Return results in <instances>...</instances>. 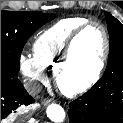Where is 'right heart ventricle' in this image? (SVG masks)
Here are the masks:
<instances>
[{
	"mask_svg": "<svg viewBox=\"0 0 123 123\" xmlns=\"http://www.w3.org/2000/svg\"><path fill=\"white\" fill-rule=\"evenodd\" d=\"M85 17L62 19L44 30L33 43V56L44 69L55 70L70 36L88 22Z\"/></svg>",
	"mask_w": 123,
	"mask_h": 123,
	"instance_id": "e07e8e85",
	"label": "right heart ventricle"
}]
</instances>
